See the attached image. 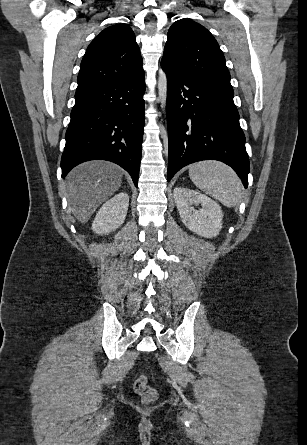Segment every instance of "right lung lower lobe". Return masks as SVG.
<instances>
[{"label":"right lung lower lobe","mask_w":307,"mask_h":445,"mask_svg":"<svg viewBox=\"0 0 307 445\" xmlns=\"http://www.w3.org/2000/svg\"><path fill=\"white\" fill-rule=\"evenodd\" d=\"M144 92L143 70L114 83L76 91L61 159L63 178L82 162L104 159L127 170L137 186Z\"/></svg>","instance_id":"obj_1"}]
</instances>
